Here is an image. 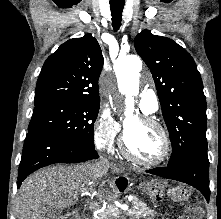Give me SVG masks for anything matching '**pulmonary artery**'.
Instances as JSON below:
<instances>
[{
	"instance_id": "obj_1",
	"label": "pulmonary artery",
	"mask_w": 221,
	"mask_h": 219,
	"mask_svg": "<svg viewBox=\"0 0 221 219\" xmlns=\"http://www.w3.org/2000/svg\"><path fill=\"white\" fill-rule=\"evenodd\" d=\"M139 105L141 110L146 114L156 112L159 107L157 97L152 90H144L139 95Z\"/></svg>"
}]
</instances>
